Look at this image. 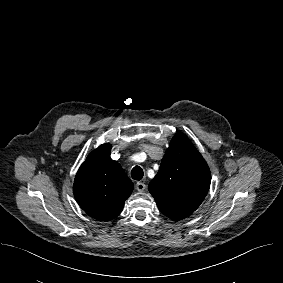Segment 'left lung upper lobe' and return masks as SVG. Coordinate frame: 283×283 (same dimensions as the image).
I'll list each match as a JSON object with an SVG mask.
<instances>
[{
	"mask_svg": "<svg viewBox=\"0 0 283 283\" xmlns=\"http://www.w3.org/2000/svg\"><path fill=\"white\" fill-rule=\"evenodd\" d=\"M210 182L211 173L201 154L184 134L177 133L148 188L161 213L179 221L199 207Z\"/></svg>",
	"mask_w": 283,
	"mask_h": 283,
	"instance_id": "obj_1",
	"label": "left lung upper lobe"
}]
</instances>
